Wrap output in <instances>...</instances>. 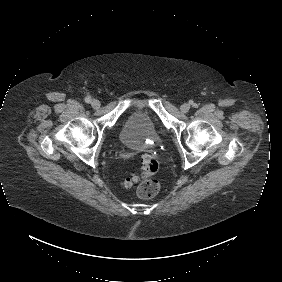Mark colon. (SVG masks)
Returning <instances> with one entry per match:
<instances>
[{"instance_id": "5ec220e1", "label": "colon", "mask_w": 282, "mask_h": 282, "mask_svg": "<svg viewBox=\"0 0 282 282\" xmlns=\"http://www.w3.org/2000/svg\"><path fill=\"white\" fill-rule=\"evenodd\" d=\"M160 171V163L159 161L152 155H146L144 158V163L142 166V171L139 174H134L130 177H126L122 179L121 184L125 188L134 187V184L137 181H140L144 177L151 176L152 174H157ZM148 183V184H147ZM161 189V184L159 180H147V182H144L143 185H141L138 190L136 191V194L141 199H152L154 198L158 192Z\"/></svg>"}]
</instances>
